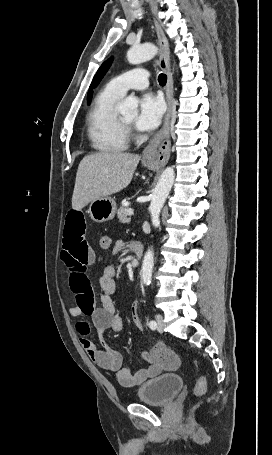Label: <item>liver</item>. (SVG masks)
Segmentation results:
<instances>
[{
	"instance_id": "1",
	"label": "liver",
	"mask_w": 272,
	"mask_h": 455,
	"mask_svg": "<svg viewBox=\"0 0 272 455\" xmlns=\"http://www.w3.org/2000/svg\"><path fill=\"white\" fill-rule=\"evenodd\" d=\"M140 156L122 152H99L85 156L77 170L72 208L81 210L90 202L126 188Z\"/></svg>"
}]
</instances>
